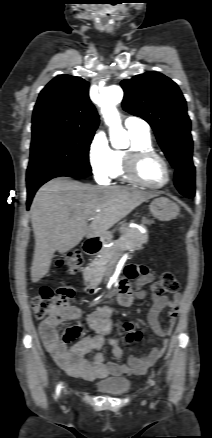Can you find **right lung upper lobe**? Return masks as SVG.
<instances>
[{"label":"right lung upper lobe","mask_w":212,"mask_h":438,"mask_svg":"<svg viewBox=\"0 0 212 438\" xmlns=\"http://www.w3.org/2000/svg\"><path fill=\"white\" fill-rule=\"evenodd\" d=\"M88 88V82L80 77H55L40 92L33 111L32 131L56 128L94 132L99 118Z\"/></svg>","instance_id":"obj_1"}]
</instances>
